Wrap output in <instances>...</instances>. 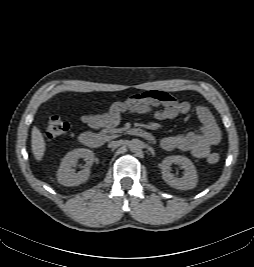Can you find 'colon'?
Masks as SVG:
<instances>
[{"label": "colon", "instance_id": "colon-1", "mask_svg": "<svg viewBox=\"0 0 254 267\" xmlns=\"http://www.w3.org/2000/svg\"><path fill=\"white\" fill-rule=\"evenodd\" d=\"M70 129L69 123L59 115H54L49 119L45 129V136L48 139H55L66 134ZM220 156L217 153H211L207 156L206 162L210 165L219 163Z\"/></svg>", "mask_w": 254, "mask_h": 267}]
</instances>
